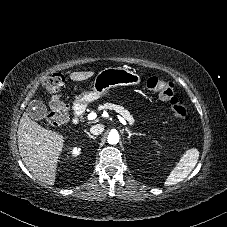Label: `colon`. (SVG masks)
<instances>
[{
	"label": "colon",
	"instance_id": "obj_1",
	"mask_svg": "<svg viewBox=\"0 0 227 227\" xmlns=\"http://www.w3.org/2000/svg\"><path fill=\"white\" fill-rule=\"evenodd\" d=\"M65 84V78L61 73L50 75L44 82L45 88L51 93L50 113L46 120L49 128L62 126L68 121V108L59 97V92ZM144 86L158 95L162 100L170 101V111L177 120H184L187 115L182 101L175 97V85L171 81L157 76H148L143 81Z\"/></svg>",
	"mask_w": 227,
	"mask_h": 227
}]
</instances>
